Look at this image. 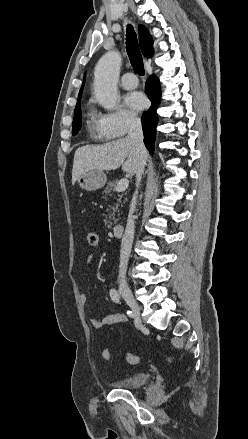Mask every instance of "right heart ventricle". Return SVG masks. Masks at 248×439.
Segmentation results:
<instances>
[{
  "mask_svg": "<svg viewBox=\"0 0 248 439\" xmlns=\"http://www.w3.org/2000/svg\"><path fill=\"white\" fill-rule=\"evenodd\" d=\"M87 126L92 133L99 135L97 118H96L95 113L92 110H89L87 113Z\"/></svg>",
  "mask_w": 248,
  "mask_h": 439,
  "instance_id": "obj_1",
  "label": "right heart ventricle"
}]
</instances>
